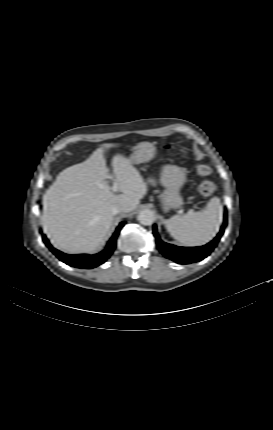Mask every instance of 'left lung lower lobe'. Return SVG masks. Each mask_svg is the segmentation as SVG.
<instances>
[{
  "label": "left lung lower lobe",
  "mask_w": 273,
  "mask_h": 430,
  "mask_svg": "<svg viewBox=\"0 0 273 430\" xmlns=\"http://www.w3.org/2000/svg\"><path fill=\"white\" fill-rule=\"evenodd\" d=\"M226 225L227 215L225 213L223 225L216 238L210 243L200 247H178L175 245L167 244L163 242L158 236L156 225L153 226V234L156 238L157 248L166 258L171 259L179 264H189L204 259L214 250L221 236L224 233Z\"/></svg>",
  "instance_id": "0a47b994"
}]
</instances>
